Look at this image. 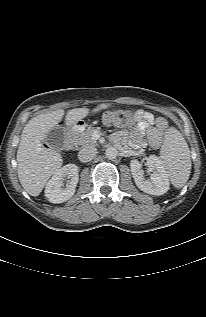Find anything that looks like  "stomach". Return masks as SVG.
Returning a JSON list of instances; mask_svg holds the SVG:
<instances>
[{
	"instance_id": "1",
	"label": "stomach",
	"mask_w": 206,
	"mask_h": 317,
	"mask_svg": "<svg viewBox=\"0 0 206 317\" xmlns=\"http://www.w3.org/2000/svg\"><path fill=\"white\" fill-rule=\"evenodd\" d=\"M79 124H80L81 126H85V123H84L82 120L79 122Z\"/></svg>"
}]
</instances>
